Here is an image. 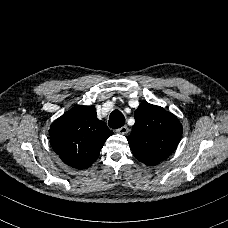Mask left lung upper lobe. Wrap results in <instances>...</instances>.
Here are the masks:
<instances>
[{"label": "left lung upper lobe", "instance_id": "left-lung-upper-lobe-1", "mask_svg": "<svg viewBox=\"0 0 228 228\" xmlns=\"http://www.w3.org/2000/svg\"><path fill=\"white\" fill-rule=\"evenodd\" d=\"M135 124L127 140L133 155L148 166L157 165L176 149L182 136L178 118L147 102L135 111Z\"/></svg>", "mask_w": 228, "mask_h": 228}]
</instances>
